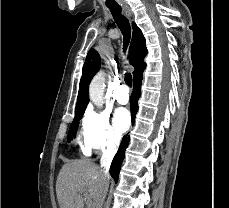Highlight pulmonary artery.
I'll list each match as a JSON object with an SVG mask.
<instances>
[{
  "label": "pulmonary artery",
  "mask_w": 229,
  "mask_h": 208,
  "mask_svg": "<svg viewBox=\"0 0 229 208\" xmlns=\"http://www.w3.org/2000/svg\"><path fill=\"white\" fill-rule=\"evenodd\" d=\"M129 97H130L129 88L125 84L120 85L117 92V99L119 100V102L127 103L129 101Z\"/></svg>",
  "instance_id": "obj_1"
}]
</instances>
